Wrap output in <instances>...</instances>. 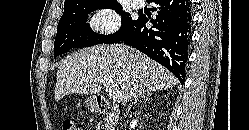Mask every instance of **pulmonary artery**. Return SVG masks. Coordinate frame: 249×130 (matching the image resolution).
Wrapping results in <instances>:
<instances>
[{
    "label": "pulmonary artery",
    "instance_id": "1",
    "mask_svg": "<svg viewBox=\"0 0 249 130\" xmlns=\"http://www.w3.org/2000/svg\"><path fill=\"white\" fill-rule=\"evenodd\" d=\"M133 5L136 8H141L144 6V0H133Z\"/></svg>",
    "mask_w": 249,
    "mask_h": 130
}]
</instances>
